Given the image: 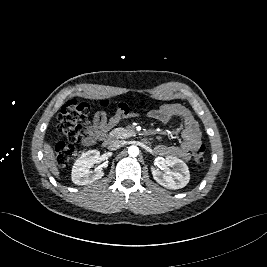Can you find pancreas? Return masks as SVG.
<instances>
[{
    "mask_svg": "<svg viewBox=\"0 0 267 267\" xmlns=\"http://www.w3.org/2000/svg\"><path fill=\"white\" fill-rule=\"evenodd\" d=\"M129 130H125V132H127ZM121 136L120 133H119V129H114L111 133H110V137H119Z\"/></svg>",
    "mask_w": 267,
    "mask_h": 267,
    "instance_id": "cf45deb5",
    "label": "pancreas"
}]
</instances>
